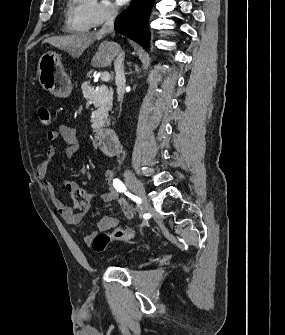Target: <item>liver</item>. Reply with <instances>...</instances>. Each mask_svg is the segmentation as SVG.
<instances>
[{
	"mask_svg": "<svg viewBox=\"0 0 285 335\" xmlns=\"http://www.w3.org/2000/svg\"><path fill=\"white\" fill-rule=\"evenodd\" d=\"M105 34H73V36H57V38H47L45 42L55 46L58 50H65L69 52L72 58H79L83 54L86 48H89L95 40H102ZM115 56H117V50L114 48L112 42H102L99 46V50L92 58V66L97 68H107L111 66Z\"/></svg>",
	"mask_w": 285,
	"mask_h": 335,
	"instance_id": "obj_1",
	"label": "liver"
}]
</instances>
